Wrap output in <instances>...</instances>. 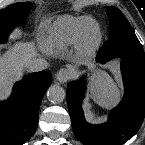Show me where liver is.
<instances>
[{
  "mask_svg": "<svg viewBox=\"0 0 145 145\" xmlns=\"http://www.w3.org/2000/svg\"><path fill=\"white\" fill-rule=\"evenodd\" d=\"M36 55L32 43L17 42L0 56V100L8 96L12 83L21 78L25 63Z\"/></svg>",
  "mask_w": 145,
  "mask_h": 145,
  "instance_id": "1",
  "label": "liver"
}]
</instances>
